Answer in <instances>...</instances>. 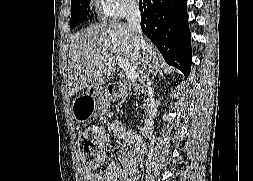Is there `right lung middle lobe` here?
<instances>
[{
  "label": "right lung middle lobe",
  "mask_w": 253,
  "mask_h": 181,
  "mask_svg": "<svg viewBox=\"0 0 253 181\" xmlns=\"http://www.w3.org/2000/svg\"><path fill=\"white\" fill-rule=\"evenodd\" d=\"M89 1L90 0H71V28L78 25L88 15Z\"/></svg>",
  "instance_id": "obj_1"
}]
</instances>
